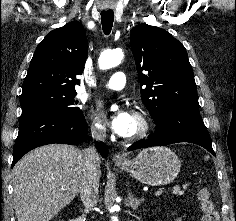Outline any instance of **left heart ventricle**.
I'll return each instance as SVG.
<instances>
[{
  "label": "left heart ventricle",
  "mask_w": 236,
  "mask_h": 221,
  "mask_svg": "<svg viewBox=\"0 0 236 221\" xmlns=\"http://www.w3.org/2000/svg\"><path fill=\"white\" fill-rule=\"evenodd\" d=\"M139 128V123L138 121L136 120L135 117H133V120H132V125H131V128H130V131L129 133L127 134V136H130L132 134H134Z\"/></svg>",
  "instance_id": "b2bd125f"
}]
</instances>
